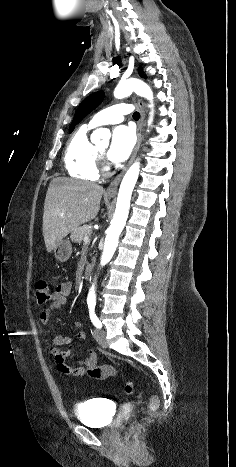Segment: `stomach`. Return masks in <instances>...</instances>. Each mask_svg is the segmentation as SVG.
I'll return each mask as SVG.
<instances>
[{
    "instance_id": "0dacf381",
    "label": "stomach",
    "mask_w": 236,
    "mask_h": 467,
    "mask_svg": "<svg viewBox=\"0 0 236 467\" xmlns=\"http://www.w3.org/2000/svg\"><path fill=\"white\" fill-rule=\"evenodd\" d=\"M53 251L58 261L65 262L72 254V245L69 240H61L56 244Z\"/></svg>"
}]
</instances>
